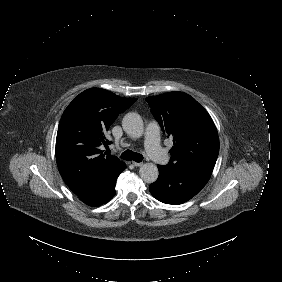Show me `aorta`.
Here are the masks:
<instances>
[{
  "label": "aorta",
  "instance_id": "762f6f07",
  "mask_svg": "<svg viewBox=\"0 0 282 282\" xmlns=\"http://www.w3.org/2000/svg\"><path fill=\"white\" fill-rule=\"evenodd\" d=\"M122 126L125 132L133 137H138L143 133V120L140 114L131 111L127 112L122 119ZM140 177L146 183H154L158 179L159 171L157 166L147 163L140 168Z\"/></svg>",
  "mask_w": 282,
  "mask_h": 282
}]
</instances>
